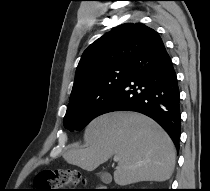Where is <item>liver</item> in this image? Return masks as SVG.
<instances>
[{
  "label": "liver",
  "mask_w": 210,
  "mask_h": 191,
  "mask_svg": "<svg viewBox=\"0 0 210 191\" xmlns=\"http://www.w3.org/2000/svg\"><path fill=\"white\" fill-rule=\"evenodd\" d=\"M85 147L70 149L64 159L93 171L111 156H119L114 181L125 186L168 180L176 151L168 134L152 119L135 112H112L95 118L84 134Z\"/></svg>",
  "instance_id": "obj_1"
}]
</instances>
